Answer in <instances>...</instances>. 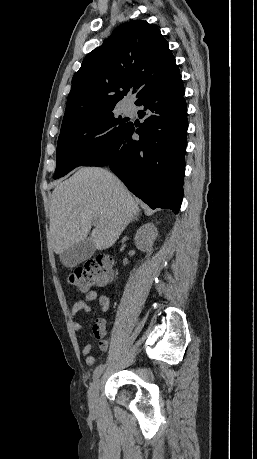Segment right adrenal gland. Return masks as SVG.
<instances>
[{
  "label": "right adrenal gland",
  "mask_w": 257,
  "mask_h": 459,
  "mask_svg": "<svg viewBox=\"0 0 257 459\" xmlns=\"http://www.w3.org/2000/svg\"><path fill=\"white\" fill-rule=\"evenodd\" d=\"M139 220V217L138 215L134 216L133 219L131 221H138Z\"/></svg>",
  "instance_id": "2a0ac1e0"
}]
</instances>
